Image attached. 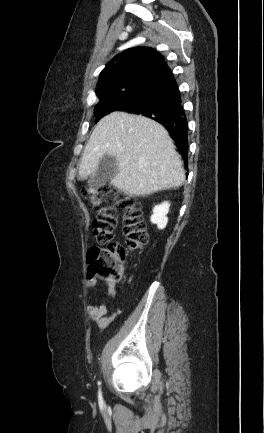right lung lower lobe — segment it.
Instances as JSON below:
<instances>
[{"mask_svg":"<svg viewBox=\"0 0 264 433\" xmlns=\"http://www.w3.org/2000/svg\"><path fill=\"white\" fill-rule=\"evenodd\" d=\"M126 111L141 114L162 124L176 141L181 154L187 156V119L176 80L166 64L140 87L138 95Z\"/></svg>","mask_w":264,"mask_h":433,"instance_id":"obj_1","label":"right lung lower lobe"}]
</instances>
